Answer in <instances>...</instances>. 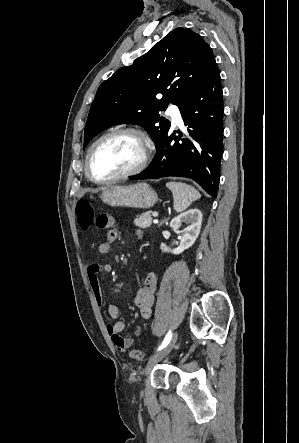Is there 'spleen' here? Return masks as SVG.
<instances>
[{
	"mask_svg": "<svg viewBox=\"0 0 299 443\" xmlns=\"http://www.w3.org/2000/svg\"><path fill=\"white\" fill-rule=\"evenodd\" d=\"M166 187L171 190L174 199V210L182 212L186 210L193 201L198 200L201 195L192 186L181 182H167Z\"/></svg>",
	"mask_w": 299,
	"mask_h": 443,
	"instance_id": "obj_1",
	"label": "spleen"
}]
</instances>
